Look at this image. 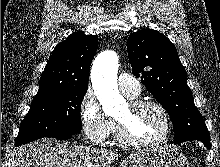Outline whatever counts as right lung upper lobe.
<instances>
[{
    "label": "right lung upper lobe",
    "mask_w": 220,
    "mask_h": 167,
    "mask_svg": "<svg viewBox=\"0 0 220 167\" xmlns=\"http://www.w3.org/2000/svg\"><path fill=\"white\" fill-rule=\"evenodd\" d=\"M98 47V36L81 32L59 43L42 73L33 100L67 88H87L91 61Z\"/></svg>",
    "instance_id": "right-lung-upper-lobe-1"
}]
</instances>
